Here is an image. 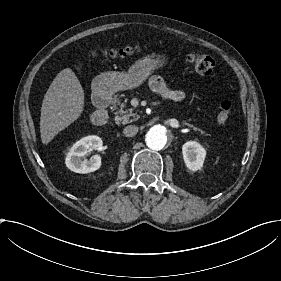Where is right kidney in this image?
Returning a JSON list of instances; mask_svg holds the SVG:
<instances>
[{
    "instance_id": "1",
    "label": "right kidney",
    "mask_w": 281,
    "mask_h": 281,
    "mask_svg": "<svg viewBox=\"0 0 281 281\" xmlns=\"http://www.w3.org/2000/svg\"><path fill=\"white\" fill-rule=\"evenodd\" d=\"M102 139L96 135H88L77 141L69 150L65 158V165L75 173L89 174L101 168V159L93 156L83 160L82 157L88 154V150H100Z\"/></svg>"
}]
</instances>
